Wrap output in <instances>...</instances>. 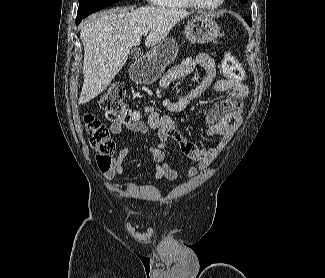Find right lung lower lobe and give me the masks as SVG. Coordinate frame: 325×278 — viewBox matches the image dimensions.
<instances>
[{
	"instance_id": "98d812e1",
	"label": "right lung lower lobe",
	"mask_w": 325,
	"mask_h": 278,
	"mask_svg": "<svg viewBox=\"0 0 325 278\" xmlns=\"http://www.w3.org/2000/svg\"><path fill=\"white\" fill-rule=\"evenodd\" d=\"M88 16V15H87ZM87 16H80L76 18V24L78 25L83 18H86Z\"/></svg>"
}]
</instances>
